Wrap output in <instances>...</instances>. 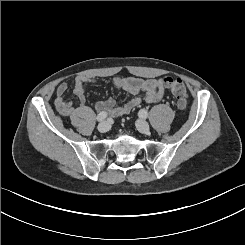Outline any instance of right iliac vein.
I'll use <instances>...</instances> for the list:
<instances>
[{"label": "right iliac vein", "mask_w": 245, "mask_h": 245, "mask_svg": "<svg viewBox=\"0 0 245 245\" xmlns=\"http://www.w3.org/2000/svg\"><path fill=\"white\" fill-rule=\"evenodd\" d=\"M110 129V125L108 122L104 121V122H101L99 125H98V130L99 132L101 133H106L108 132Z\"/></svg>", "instance_id": "right-iliac-vein-1"}]
</instances>
